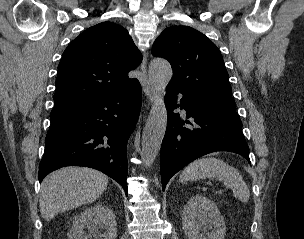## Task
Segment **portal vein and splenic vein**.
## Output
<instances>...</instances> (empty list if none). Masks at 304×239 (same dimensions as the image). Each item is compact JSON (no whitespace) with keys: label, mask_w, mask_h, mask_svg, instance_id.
I'll list each match as a JSON object with an SVG mask.
<instances>
[{"label":"portal vein and splenic vein","mask_w":304,"mask_h":239,"mask_svg":"<svg viewBox=\"0 0 304 239\" xmlns=\"http://www.w3.org/2000/svg\"><path fill=\"white\" fill-rule=\"evenodd\" d=\"M222 192V190H217V193H221Z\"/></svg>","instance_id":"18ae733b"}]
</instances>
